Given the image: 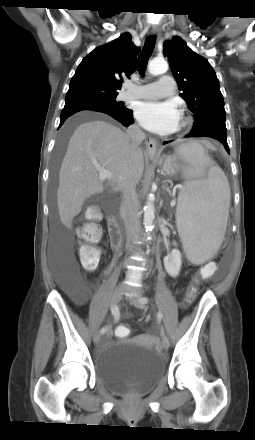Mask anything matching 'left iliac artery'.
<instances>
[{"instance_id": "left-iliac-artery-1", "label": "left iliac artery", "mask_w": 255, "mask_h": 440, "mask_svg": "<svg viewBox=\"0 0 255 440\" xmlns=\"http://www.w3.org/2000/svg\"><path fill=\"white\" fill-rule=\"evenodd\" d=\"M140 301H141L142 303H144V304H147L149 300H148L147 297H142V298L140 299ZM162 316H163V315H162L161 312H158V313H157V319H158L159 322L161 321Z\"/></svg>"}]
</instances>
